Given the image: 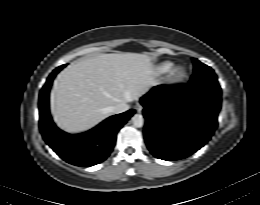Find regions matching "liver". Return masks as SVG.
Instances as JSON below:
<instances>
[{"label": "liver", "mask_w": 260, "mask_h": 205, "mask_svg": "<svg viewBox=\"0 0 260 205\" xmlns=\"http://www.w3.org/2000/svg\"><path fill=\"white\" fill-rule=\"evenodd\" d=\"M156 84L148 54H101L73 63L57 77L51 109L57 125L86 131L111 115L108 107L137 100Z\"/></svg>", "instance_id": "6515ba94"}]
</instances>
